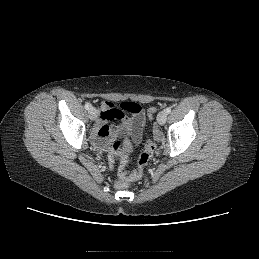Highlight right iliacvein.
I'll return each instance as SVG.
<instances>
[{
	"instance_id": "right-iliac-vein-1",
	"label": "right iliac vein",
	"mask_w": 259,
	"mask_h": 259,
	"mask_svg": "<svg viewBox=\"0 0 259 259\" xmlns=\"http://www.w3.org/2000/svg\"><path fill=\"white\" fill-rule=\"evenodd\" d=\"M88 113H89V118L92 120V121H94V120H96V118H97V110L95 109V108H90L89 109V111H88Z\"/></svg>"
}]
</instances>
